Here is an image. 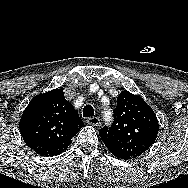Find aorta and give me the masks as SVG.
<instances>
[{
    "mask_svg": "<svg viewBox=\"0 0 188 188\" xmlns=\"http://www.w3.org/2000/svg\"><path fill=\"white\" fill-rule=\"evenodd\" d=\"M112 111L108 110L104 113V120L110 122L112 120Z\"/></svg>",
    "mask_w": 188,
    "mask_h": 188,
    "instance_id": "762f6f07",
    "label": "aorta"
}]
</instances>
